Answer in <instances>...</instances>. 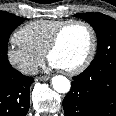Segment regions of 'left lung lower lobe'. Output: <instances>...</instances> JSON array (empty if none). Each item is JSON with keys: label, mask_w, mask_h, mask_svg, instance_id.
Wrapping results in <instances>:
<instances>
[{"label": "left lung lower lobe", "mask_w": 116, "mask_h": 116, "mask_svg": "<svg viewBox=\"0 0 116 116\" xmlns=\"http://www.w3.org/2000/svg\"><path fill=\"white\" fill-rule=\"evenodd\" d=\"M63 107L66 116H116V62L90 66L73 77Z\"/></svg>", "instance_id": "obj_1"}]
</instances>
